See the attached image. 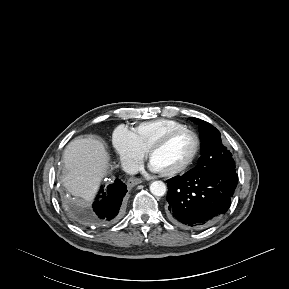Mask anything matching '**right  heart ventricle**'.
<instances>
[{"label":"right heart ventricle","mask_w":289,"mask_h":289,"mask_svg":"<svg viewBox=\"0 0 289 289\" xmlns=\"http://www.w3.org/2000/svg\"><path fill=\"white\" fill-rule=\"evenodd\" d=\"M181 122L171 119H155L138 124L131 131L138 147L147 152L161 137L175 129L185 128Z\"/></svg>","instance_id":"right-heart-ventricle-1"}]
</instances>
